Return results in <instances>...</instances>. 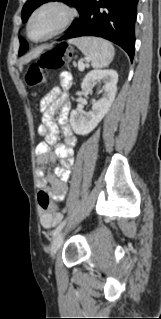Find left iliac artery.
<instances>
[{"instance_id": "44dca946", "label": "left iliac artery", "mask_w": 161, "mask_h": 319, "mask_svg": "<svg viewBox=\"0 0 161 319\" xmlns=\"http://www.w3.org/2000/svg\"><path fill=\"white\" fill-rule=\"evenodd\" d=\"M65 224H66V219L62 223H60L59 226L52 232V236L55 237L62 230Z\"/></svg>"}]
</instances>
